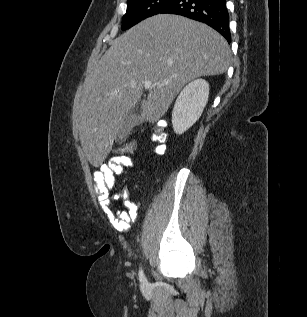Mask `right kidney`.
I'll list each match as a JSON object with an SVG mask.
<instances>
[{
	"label": "right kidney",
	"instance_id": "right-kidney-1",
	"mask_svg": "<svg viewBox=\"0 0 307 317\" xmlns=\"http://www.w3.org/2000/svg\"><path fill=\"white\" fill-rule=\"evenodd\" d=\"M208 97L209 84L203 79L193 80L183 88L172 111V125L176 134L184 133L200 118Z\"/></svg>",
	"mask_w": 307,
	"mask_h": 317
}]
</instances>
